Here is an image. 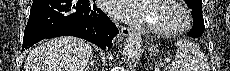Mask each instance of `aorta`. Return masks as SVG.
<instances>
[{
	"instance_id": "1",
	"label": "aorta",
	"mask_w": 230,
	"mask_h": 71,
	"mask_svg": "<svg viewBox=\"0 0 230 71\" xmlns=\"http://www.w3.org/2000/svg\"><path fill=\"white\" fill-rule=\"evenodd\" d=\"M142 37L139 33L130 34L124 42L123 60L126 64H134L140 57Z\"/></svg>"
}]
</instances>
